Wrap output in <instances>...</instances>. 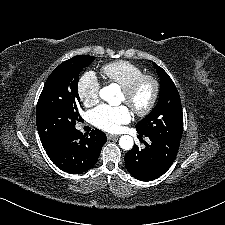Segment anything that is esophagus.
I'll list each match as a JSON object with an SVG mask.
<instances>
[{
  "instance_id": "esophagus-1",
  "label": "esophagus",
  "mask_w": 225,
  "mask_h": 225,
  "mask_svg": "<svg viewBox=\"0 0 225 225\" xmlns=\"http://www.w3.org/2000/svg\"><path fill=\"white\" fill-rule=\"evenodd\" d=\"M107 138L110 140H114V139H118L119 136L118 135H113V134H107Z\"/></svg>"
}]
</instances>
